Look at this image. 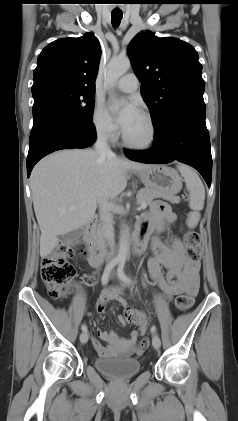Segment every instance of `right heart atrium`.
I'll use <instances>...</instances> for the list:
<instances>
[{
    "label": "right heart atrium",
    "mask_w": 238,
    "mask_h": 421,
    "mask_svg": "<svg viewBox=\"0 0 238 421\" xmlns=\"http://www.w3.org/2000/svg\"><path fill=\"white\" fill-rule=\"evenodd\" d=\"M92 123L98 135L106 139H114L118 135V127L102 103H96Z\"/></svg>",
    "instance_id": "d8ad5b80"
}]
</instances>
